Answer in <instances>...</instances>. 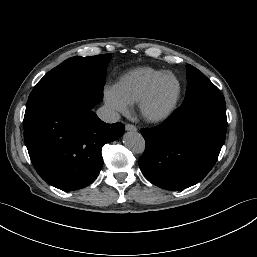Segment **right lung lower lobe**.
Here are the masks:
<instances>
[{"label": "right lung lower lobe", "instance_id": "1", "mask_svg": "<svg viewBox=\"0 0 257 257\" xmlns=\"http://www.w3.org/2000/svg\"><path fill=\"white\" fill-rule=\"evenodd\" d=\"M102 99L82 81L30 93L24 140L34 168L50 185L71 191L92 183L103 165V145L123 135V124H107L92 111Z\"/></svg>", "mask_w": 257, "mask_h": 257}]
</instances>
